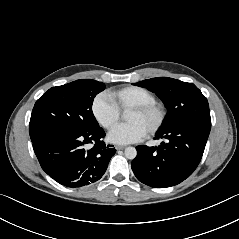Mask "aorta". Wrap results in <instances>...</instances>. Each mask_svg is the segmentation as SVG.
Segmentation results:
<instances>
[{"label":"aorta","instance_id":"762f6f07","mask_svg":"<svg viewBox=\"0 0 239 239\" xmlns=\"http://www.w3.org/2000/svg\"><path fill=\"white\" fill-rule=\"evenodd\" d=\"M124 154H125V157L127 159H131L132 160V159H134L137 156V151H136V149L134 147H127L125 149Z\"/></svg>","mask_w":239,"mask_h":239}]
</instances>
